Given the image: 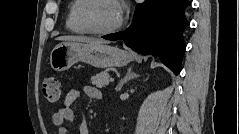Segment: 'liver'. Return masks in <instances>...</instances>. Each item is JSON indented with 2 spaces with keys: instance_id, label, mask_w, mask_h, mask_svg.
I'll use <instances>...</instances> for the list:
<instances>
[{
  "instance_id": "1",
  "label": "liver",
  "mask_w": 239,
  "mask_h": 134,
  "mask_svg": "<svg viewBox=\"0 0 239 134\" xmlns=\"http://www.w3.org/2000/svg\"><path fill=\"white\" fill-rule=\"evenodd\" d=\"M57 40L61 41H75V42H83V43H108L105 40L95 39V38H89L84 36H61L57 38Z\"/></svg>"
}]
</instances>
